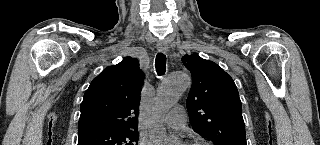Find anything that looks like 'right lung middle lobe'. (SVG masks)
<instances>
[{
	"mask_svg": "<svg viewBox=\"0 0 320 145\" xmlns=\"http://www.w3.org/2000/svg\"><path fill=\"white\" fill-rule=\"evenodd\" d=\"M137 130H101L79 136L78 145H137Z\"/></svg>",
	"mask_w": 320,
	"mask_h": 145,
	"instance_id": "dd1d6c3e",
	"label": "right lung middle lobe"
}]
</instances>
